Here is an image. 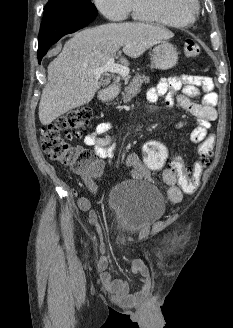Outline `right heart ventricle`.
Wrapping results in <instances>:
<instances>
[{
	"mask_svg": "<svg viewBox=\"0 0 233 328\" xmlns=\"http://www.w3.org/2000/svg\"><path fill=\"white\" fill-rule=\"evenodd\" d=\"M130 13L135 20L158 23L165 26L184 28L192 22L163 7L158 0H131Z\"/></svg>",
	"mask_w": 233,
	"mask_h": 328,
	"instance_id": "1",
	"label": "right heart ventricle"
}]
</instances>
